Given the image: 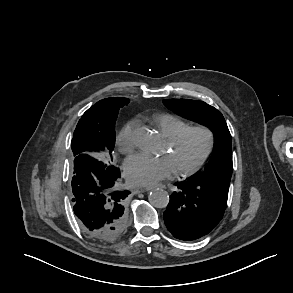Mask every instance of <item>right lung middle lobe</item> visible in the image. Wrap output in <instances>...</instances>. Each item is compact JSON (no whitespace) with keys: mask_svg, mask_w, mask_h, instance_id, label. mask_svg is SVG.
<instances>
[{"mask_svg":"<svg viewBox=\"0 0 293 293\" xmlns=\"http://www.w3.org/2000/svg\"><path fill=\"white\" fill-rule=\"evenodd\" d=\"M127 103L129 99H121L83 115L74 131L71 143L73 155L93 152L106 165H114L112 151L115 146V122L119 109Z\"/></svg>","mask_w":293,"mask_h":293,"instance_id":"dd1d6c3e","label":"right lung middle lobe"}]
</instances>
